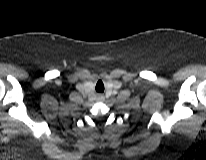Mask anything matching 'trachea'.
<instances>
[{
    "mask_svg": "<svg viewBox=\"0 0 206 160\" xmlns=\"http://www.w3.org/2000/svg\"><path fill=\"white\" fill-rule=\"evenodd\" d=\"M96 91L100 93L104 92V84L101 80H99L96 84Z\"/></svg>",
    "mask_w": 206,
    "mask_h": 160,
    "instance_id": "trachea-1",
    "label": "trachea"
}]
</instances>
